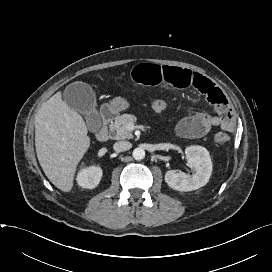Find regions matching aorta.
<instances>
[{"label":"aorta","mask_w":272,"mask_h":272,"mask_svg":"<svg viewBox=\"0 0 272 272\" xmlns=\"http://www.w3.org/2000/svg\"><path fill=\"white\" fill-rule=\"evenodd\" d=\"M132 155L135 160H142L145 157V151L143 148L138 147L133 150Z\"/></svg>","instance_id":"aorta-1"}]
</instances>
